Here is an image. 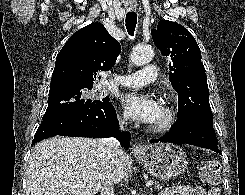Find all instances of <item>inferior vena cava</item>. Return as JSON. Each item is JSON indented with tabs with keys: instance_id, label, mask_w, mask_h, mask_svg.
<instances>
[{
	"instance_id": "602c4592",
	"label": "inferior vena cava",
	"mask_w": 245,
	"mask_h": 195,
	"mask_svg": "<svg viewBox=\"0 0 245 195\" xmlns=\"http://www.w3.org/2000/svg\"><path fill=\"white\" fill-rule=\"evenodd\" d=\"M125 121L120 123V129L123 130V125ZM103 145L106 148V162L107 166V175H104L101 182V195H114V183L109 177V172L111 171V164L114 160L115 154L120 150L119 142L115 138H105L102 140Z\"/></svg>"
}]
</instances>
